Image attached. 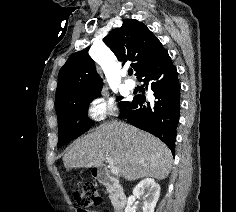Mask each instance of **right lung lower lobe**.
Masks as SVG:
<instances>
[{
    "label": "right lung lower lobe",
    "instance_id": "98d812e1",
    "mask_svg": "<svg viewBox=\"0 0 236 212\" xmlns=\"http://www.w3.org/2000/svg\"><path fill=\"white\" fill-rule=\"evenodd\" d=\"M151 86L155 101L145 102L142 96L120 110V118L162 140L174 154L176 127L179 122L180 84L178 73L166 49L161 46L137 77Z\"/></svg>",
    "mask_w": 236,
    "mask_h": 212
}]
</instances>
